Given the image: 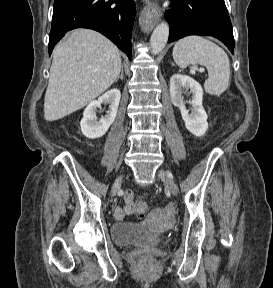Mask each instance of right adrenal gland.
<instances>
[{
  "label": "right adrenal gland",
  "mask_w": 273,
  "mask_h": 288,
  "mask_svg": "<svg viewBox=\"0 0 273 288\" xmlns=\"http://www.w3.org/2000/svg\"><path fill=\"white\" fill-rule=\"evenodd\" d=\"M118 79L123 80L124 79V70H123V66L121 68V74L119 75V77L116 79V82L118 81Z\"/></svg>",
  "instance_id": "obj_1"
}]
</instances>
